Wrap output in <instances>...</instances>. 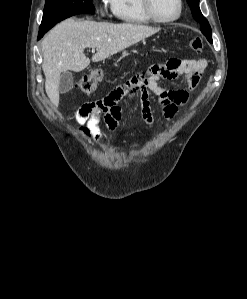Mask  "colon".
<instances>
[{"label":"colon","instance_id":"obj_1","mask_svg":"<svg viewBox=\"0 0 247 299\" xmlns=\"http://www.w3.org/2000/svg\"><path fill=\"white\" fill-rule=\"evenodd\" d=\"M189 46L194 52H200L203 48V41L199 37H194L189 41ZM102 78L103 72L101 70L94 71L82 76L77 83V87L81 92L91 94L95 91L97 84Z\"/></svg>","mask_w":247,"mask_h":299}]
</instances>
